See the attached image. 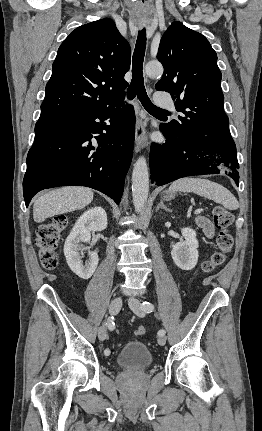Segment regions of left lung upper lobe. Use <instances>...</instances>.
<instances>
[{
  "label": "left lung upper lobe",
  "instance_id": "left-lung-upper-lobe-1",
  "mask_svg": "<svg viewBox=\"0 0 262 431\" xmlns=\"http://www.w3.org/2000/svg\"><path fill=\"white\" fill-rule=\"evenodd\" d=\"M158 60L164 74L156 89L171 93L178 121L163 124L169 134L203 146L221 147L231 138L229 119L224 112L221 72L217 54L209 41L181 22H173L164 33Z\"/></svg>",
  "mask_w": 262,
  "mask_h": 431
}]
</instances>
